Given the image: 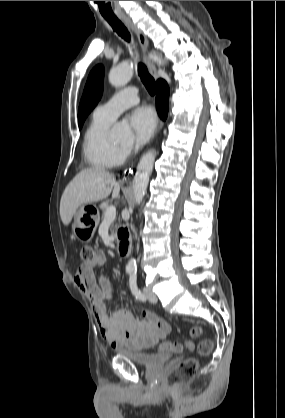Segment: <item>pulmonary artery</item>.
Returning <instances> with one entry per match:
<instances>
[{
    "label": "pulmonary artery",
    "instance_id": "1",
    "mask_svg": "<svg viewBox=\"0 0 285 418\" xmlns=\"http://www.w3.org/2000/svg\"><path fill=\"white\" fill-rule=\"evenodd\" d=\"M138 102L139 97L136 87H129L115 95L108 102L97 107L94 111V116L99 119L113 122L123 110Z\"/></svg>",
    "mask_w": 285,
    "mask_h": 418
}]
</instances>
